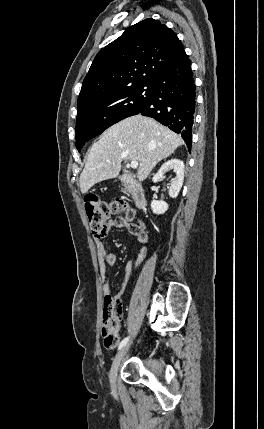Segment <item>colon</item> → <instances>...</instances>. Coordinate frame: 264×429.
<instances>
[{
  "instance_id": "obj_1",
  "label": "colon",
  "mask_w": 264,
  "mask_h": 429,
  "mask_svg": "<svg viewBox=\"0 0 264 429\" xmlns=\"http://www.w3.org/2000/svg\"><path fill=\"white\" fill-rule=\"evenodd\" d=\"M85 211L90 229L95 237L103 236L113 213H121L131 224L140 225L139 222L135 220L134 212L129 205L118 199L105 202L97 196H89L85 199ZM121 317V302L112 296L105 297L102 317V336L104 345L108 349H113L118 343V331Z\"/></svg>"
}]
</instances>
